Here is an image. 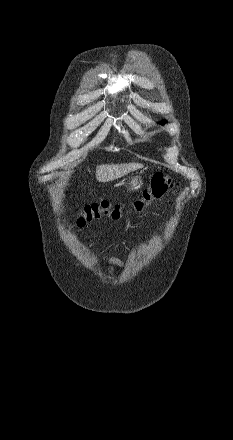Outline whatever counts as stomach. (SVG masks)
Returning <instances> with one entry per match:
<instances>
[{
  "label": "stomach",
  "mask_w": 233,
  "mask_h": 440,
  "mask_svg": "<svg viewBox=\"0 0 233 440\" xmlns=\"http://www.w3.org/2000/svg\"><path fill=\"white\" fill-rule=\"evenodd\" d=\"M142 184V178L140 176H134L129 179L126 186H128L130 191H136L141 188Z\"/></svg>",
  "instance_id": "obj_1"
}]
</instances>
